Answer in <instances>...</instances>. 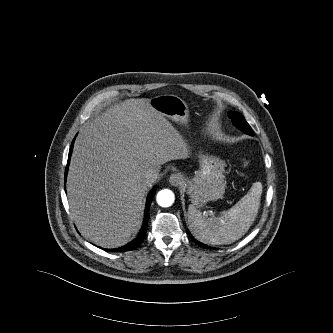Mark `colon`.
I'll use <instances>...</instances> for the list:
<instances>
[{
	"mask_svg": "<svg viewBox=\"0 0 333 333\" xmlns=\"http://www.w3.org/2000/svg\"><path fill=\"white\" fill-rule=\"evenodd\" d=\"M242 165H243V166H247V165H248V160H247V159H244V160L242 161Z\"/></svg>",
	"mask_w": 333,
	"mask_h": 333,
	"instance_id": "5ec220e1",
	"label": "colon"
}]
</instances>
